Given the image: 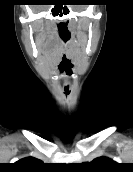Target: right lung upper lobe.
Returning a JSON list of instances; mask_svg holds the SVG:
<instances>
[{
	"label": "right lung upper lobe",
	"mask_w": 133,
	"mask_h": 172,
	"mask_svg": "<svg viewBox=\"0 0 133 172\" xmlns=\"http://www.w3.org/2000/svg\"><path fill=\"white\" fill-rule=\"evenodd\" d=\"M44 167V163L34 157H27L17 161L14 168L23 172H38Z\"/></svg>",
	"instance_id": "1"
}]
</instances>
